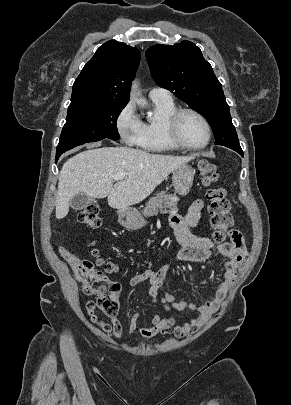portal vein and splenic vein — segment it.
Segmentation results:
<instances>
[{
    "label": "portal vein and splenic vein",
    "instance_id": "obj_1",
    "mask_svg": "<svg viewBox=\"0 0 291 405\" xmlns=\"http://www.w3.org/2000/svg\"><path fill=\"white\" fill-rule=\"evenodd\" d=\"M126 175H127L126 172H118V173L113 175V179L116 180V181L117 180H122V179L125 178Z\"/></svg>",
    "mask_w": 291,
    "mask_h": 405
}]
</instances>
